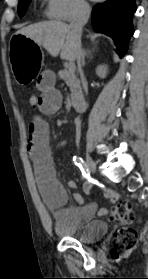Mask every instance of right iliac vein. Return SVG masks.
Masks as SVG:
<instances>
[{
	"label": "right iliac vein",
	"mask_w": 148,
	"mask_h": 279,
	"mask_svg": "<svg viewBox=\"0 0 148 279\" xmlns=\"http://www.w3.org/2000/svg\"><path fill=\"white\" fill-rule=\"evenodd\" d=\"M86 161H87V165H88L90 171L92 173H95L96 165H95L94 160L92 159V157L89 154H86Z\"/></svg>",
	"instance_id": "obj_1"
}]
</instances>
